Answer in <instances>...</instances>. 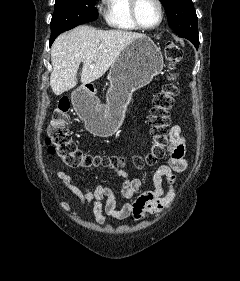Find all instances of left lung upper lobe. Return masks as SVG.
Returning <instances> with one entry per match:
<instances>
[{"mask_svg": "<svg viewBox=\"0 0 240 281\" xmlns=\"http://www.w3.org/2000/svg\"><path fill=\"white\" fill-rule=\"evenodd\" d=\"M168 24L177 35L187 38L194 45L198 38V18L191 0H160Z\"/></svg>", "mask_w": 240, "mask_h": 281, "instance_id": "5c2ea615", "label": "left lung upper lobe"}]
</instances>
